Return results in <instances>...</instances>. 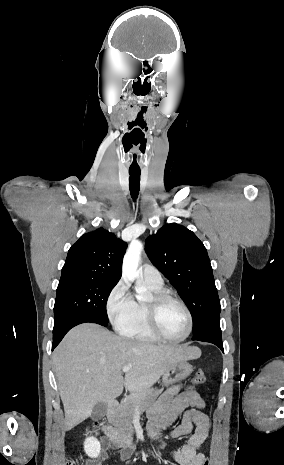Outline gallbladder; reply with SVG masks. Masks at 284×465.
I'll use <instances>...</instances> for the list:
<instances>
[{
	"mask_svg": "<svg viewBox=\"0 0 284 465\" xmlns=\"http://www.w3.org/2000/svg\"><path fill=\"white\" fill-rule=\"evenodd\" d=\"M106 413H107L106 403H97V405H95L92 411L91 419L92 421H100L102 417H105Z\"/></svg>",
	"mask_w": 284,
	"mask_h": 465,
	"instance_id": "obj_1",
	"label": "gallbladder"
}]
</instances>
